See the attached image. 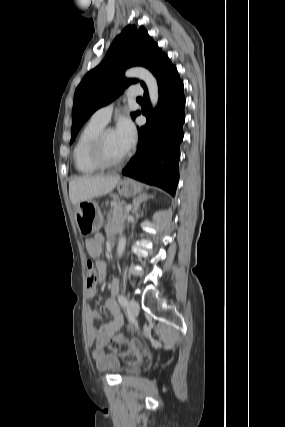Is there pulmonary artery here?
<instances>
[{"label": "pulmonary artery", "mask_w": 285, "mask_h": 427, "mask_svg": "<svg viewBox=\"0 0 285 427\" xmlns=\"http://www.w3.org/2000/svg\"><path fill=\"white\" fill-rule=\"evenodd\" d=\"M142 95H143V88L139 85H131L126 92V96L129 98H136ZM113 108H114V103L103 106L97 109L93 113L92 118L103 124H107L111 118Z\"/></svg>", "instance_id": "1"}]
</instances>
